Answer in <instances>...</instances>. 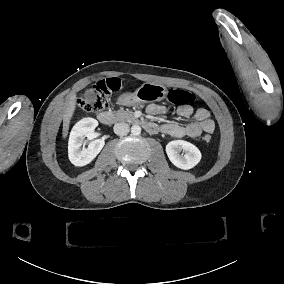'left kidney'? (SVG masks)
I'll return each mask as SVG.
<instances>
[{"mask_svg": "<svg viewBox=\"0 0 284 284\" xmlns=\"http://www.w3.org/2000/svg\"><path fill=\"white\" fill-rule=\"evenodd\" d=\"M185 154H180L181 151ZM166 153L170 161L178 168L188 170L196 166L201 160L200 150L190 142L174 140L166 145Z\"/></svg>", "mask_w": 284, "mask_h": 284, "instance_id": "5707ae66", "label": "left kidney"}]
</instances>
